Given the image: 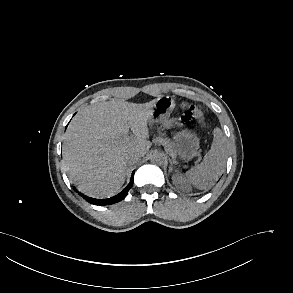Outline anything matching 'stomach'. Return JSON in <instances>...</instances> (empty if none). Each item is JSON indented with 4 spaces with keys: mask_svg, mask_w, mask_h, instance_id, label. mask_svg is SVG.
Masks as SVG:
<instances>
[{
    "mask_svg": "<svg viewBox=\"0 0 293 293\" xmlns=\"http://www.w3.org/2000/svg\"><path fill=\"white\" fill-rule=\"evenodd\" d=\"M175 107V101L172 97L166 96L158 98L151 116L149 124L160 123L165 128H171L175 125V119L170 115ZM200 139L197 134L191 130H182L174 136L173 152L186 161L191 160L198 152Z\"/></svg>",
    "mask_w": 293,
    "mask_h": 293,
    "instance_id": "stomach-1",
    "label": "stomach"
}]
</instances>
